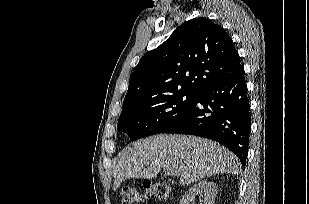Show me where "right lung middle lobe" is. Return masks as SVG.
Segmentation results:
<instances>
[{
  "label": "right lung middle lobe",
  "instance_id": "right-lung-middle-lobe-1",
  "mask_svg": "<svg viewBox=\"0 0 309 204\" xmlns=\"http://www.w3.org/2000/svg\"><path fill=\"white\" fill-rule=\"evenodd\" d=\"M197 96L175 92L123 103L117 129L127 133L132 141L164 133L192 109Z\"/></svg>",
  "mask_w": 309,
  "mask_h": 204
}]
</instances>
